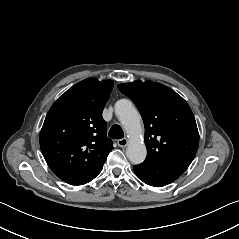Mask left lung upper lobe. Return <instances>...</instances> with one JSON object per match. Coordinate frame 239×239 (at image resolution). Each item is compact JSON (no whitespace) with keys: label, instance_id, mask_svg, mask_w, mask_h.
<instances>
[{"label":"left lung upper lobe","instance_id":"1","mask_svg":"<svg viewBox=\"0 0 239 239\" xmlns=\"http://www.w3.org/2000/svg\"><path fill=\"white\" fill-rule=\"evenodd\" d=\"M131 98L145 125L147 163L189 165L199 145V133L188 103L169 87L152 81L119 84Z\"/></svg>","mask_w":239,"mask_h":239}]
</instances>
